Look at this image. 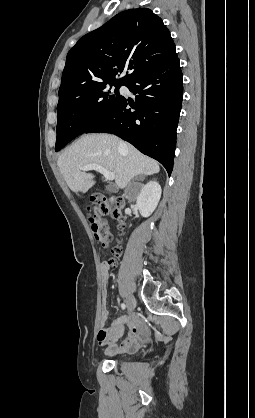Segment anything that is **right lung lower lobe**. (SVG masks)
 I'll return each mask as SVG.
<instances>
[{"label":"right lung lower lobe","mask_w":255,"mask_h":418,"mask_svg":"<svg viewBox=\"0 0 255 418\" xmlns=\"http://www.w3.org/2000/svg\"><path fill=\"white\" fill-rule=\"evenodd\" d=\"M125 86L137 94L135 103L121 96L112 111L85 133L104 132L119 136L159 161L170 176L183 96L178 57L149 68Z\"/></svg>","instance_id":"obj_1"}]
</instances>
